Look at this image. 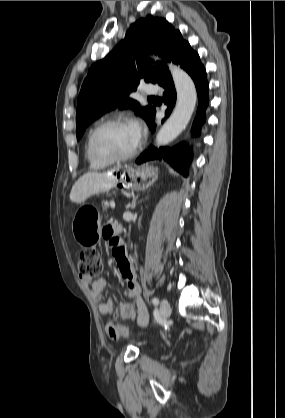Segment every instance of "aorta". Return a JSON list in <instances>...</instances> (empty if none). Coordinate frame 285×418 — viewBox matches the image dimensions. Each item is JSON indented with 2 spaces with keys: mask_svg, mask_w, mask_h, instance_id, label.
Listing matches in <instances>:
<instances>
[{
  "mask_svg": "<svg viewBox=\"0 0 285 418\" xmlns=\"http://www.w3.org/2000/svg\"><path fill=\"white\" fill-rule=\"evenodd\" d=\"M169 69L177 92V102L173 113L156 136L157 146L173 141L186 128L197 101V92L191 77L172 63L169 64Z\"/></svg>",
  "mask_w": 285,
  "mask_h": 418,
  "instance_id": "obj_1",
  "label": "aorta"
}]
</instances>
